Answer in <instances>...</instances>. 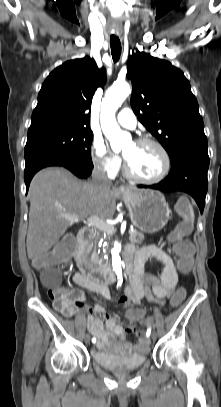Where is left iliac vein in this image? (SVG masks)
Segmentation results:
<instances>
[{
	"instance_id": "1",
	"label": "left iliac vein",
	"mask_w": 221,
	"mask_h": 407,
	"mask_svg": "<svg viewBox=\"0 0 221 407\" xmlns=\"http://www.w3.org/2000/svg\"><path fill=\"white\" fill-rule=\"evenodd\" d=\"M152 339H156V333L152 334ZM147 344H148V341H147Z\"/></svg>"
}]
</instances>
